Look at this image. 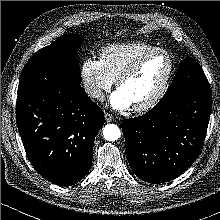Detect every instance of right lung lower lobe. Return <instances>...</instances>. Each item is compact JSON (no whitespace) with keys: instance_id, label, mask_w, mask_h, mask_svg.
Wrapping results in <instances>:
<instances>
[{"instance_id":"obj_1","label":"right lung lower lobe","mask_w":220,"mask_h":220,"mask_svg":"<svg viewBox=\"0 0 220 220\" xmlns=\"http://www.w3.org/2000/svg\"><path fill=\"white\" fill-rule=\"evenodd\" d=\"M16 120L27 156L42 177L61 186L85 177L104 113L82 87L18 96Z\"/></svg>"}]
</instances>
